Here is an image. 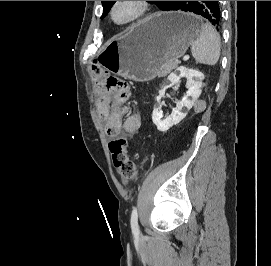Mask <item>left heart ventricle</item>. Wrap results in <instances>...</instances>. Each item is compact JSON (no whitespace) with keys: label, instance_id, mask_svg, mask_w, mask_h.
Listing matches in <instances>:
<instances>
[{"label":"left heart ventricle","instance_id":"b2bd125f","mask_svg":"<svg viewBox=\"0 0 271 266\" xmlns=\"http://www.w3.org/2000/svg\"><path fill=\"white\" fill-rule=\"evenodd\" d=\"M136 10V6L131 3L120 4L115 11V18L118 21H125L131 18Z\"/></svg>","mask_w":271,"mask_h":266}]
</instances>
